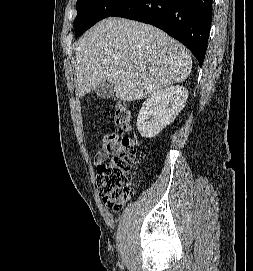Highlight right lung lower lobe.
<instances>
[{
  "label": "right lung lower lobe",
  "instance_id": "1",
  "mask_svg": "<svg viewBox=\"0 0 253 271\" xmlns=\"http://www.w3.org/2000/svg\"><path fill=\"white\" fill-rule=\"evenodd\" d=\"M112 16L162 29L189 48L202 66L212 21V0H129Z\"/></svg>",
  "mask_w": 253,
  "mask_h": 271
}]
</instances>
